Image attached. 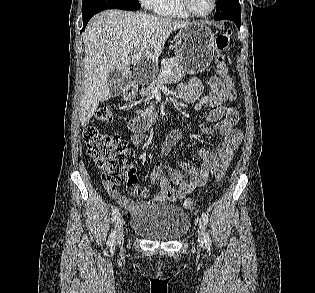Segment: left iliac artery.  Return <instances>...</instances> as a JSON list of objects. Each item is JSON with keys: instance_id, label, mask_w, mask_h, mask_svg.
<instances>
[{"instance_id": "1", "label": "left iliac artery", "mask_w": 315, "mask_h": 293, "mask_svg": "<svg viewBox=\"0 0 315 293\" xmlns=\"http://www.w3.org/2000/svg\"><path fill=\"white\" fill-rule=\"evenodd\" d=\"M202 219H203L204 224L207 226L209 218H208V215L206 213H202ZM204 243H205V246L207 248H210V246H211V239H210V236H209L208 233L205 234Z\"/></svg>"}]
</instances>
